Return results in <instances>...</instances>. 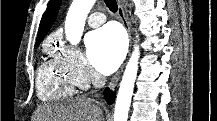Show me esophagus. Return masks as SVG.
I'll use <instances>...</instances> for the list:
<instances>
[{
	"label": "esophagus",
	"instance_id": "obj_1",
	"mask_svg": "<svg viewBox=\"0 0 217 121\" xmlns=\"http://www.w3.org/2000/svg\"><path fill=\"white\" fill-rule=\"evenodd\" d=\"M117 5H118V17H119L120 21L122 22L123 26L126 28L128 36H129V41L131 42L130 26H129L127 17L125 15V11H124L121 0H117ZM123 69H124V65L121 66V68L118 70V72L111 79V81L109 83L110 89H114L115 86L117 85V83L121 77V73H122Z\"/></svg>",
	"mask_w": 217,
	"mask_h": 121
}]
</instances>
